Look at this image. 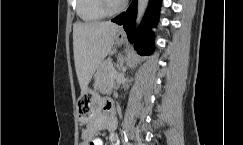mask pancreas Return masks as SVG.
I'll return each instance as SVG.
<instances>
[{"instance_id": "cf45deb5", "label": "pancreas", "mask_w": 243, "mask_h": 145, "mask_svg": "<svg viewBox=\"0 0 243 145\" xmlns=\"http://www.w3.org/2000/svg\"><path fill=\"white\" fill-rule=\"evenodd\" d=\"M99 77L106 81H113L115 78V69L112 67L109 61H105L99 70Z\"/></svg>"}]
</instances>
